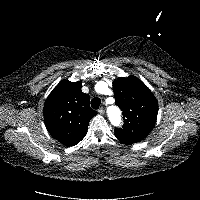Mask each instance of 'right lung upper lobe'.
Instances as JSON below:
<instances>
[{
  "instance_id": "1",
  "label": "right lung upper lobe",
  "mask_w": 200,
  "mask_h": 200,
  "mask_svg": "<svg viewBox=\"0 0 200 200\" xmlns=\"http://www.w3.org/2000/svg\"><path fill=\"white\" fill-rule=\"evenodd\" d=\"M82 82H60L44 104V121L50 135L65 146L78 144L86 135L96 112L90 97L81 91Z\"/></svg>"
}]
</instances>
